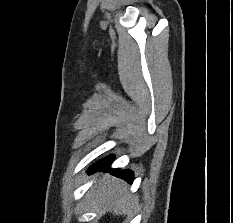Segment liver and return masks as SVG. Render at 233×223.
I'll return each instance as SVG.
<instances>
[{
	"label": "liver",
	"mask_w": 233,
	"mask_h": 223,
	"mask_svg": "<svg viewBox=\"0 0 233 223\" xmlns=\"http://www.w3.org/2000/svg\"><path fill=\"white\" fill-rule=\"evenodd\" d=\"M93 187L95 191L90 193L92 201L107 209L111 215H122L126 213L127 207H134V199L130 193H126L122 179H116L107 173Z\"/></svg>",
	"instance_id": "liver-1"
}]
</instances>
